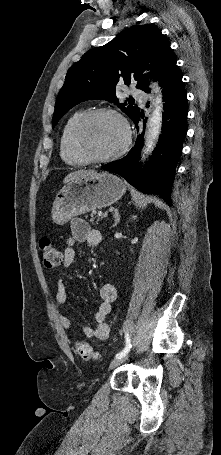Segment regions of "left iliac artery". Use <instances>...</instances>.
I'll return each instance as SVG.
<instances>
[{"label": "left iliac artery", "mask_w": 221, "mask_h": 455, "mask_svg": "<svg viewBox=\"0 0 221 455\" xmlns=\"http://www.w3.org/2000/svg\"><path fill=\"white\" fill-rule=\"evenodd\" d=\"M125 338H126V347L121 352L116 354L115 358H121L123 356H126V354L130 351L132 344H131V339H130V336L128 333L126 334Z\"/></svg>", "instance_id": "44dca946"}]
</instances>
